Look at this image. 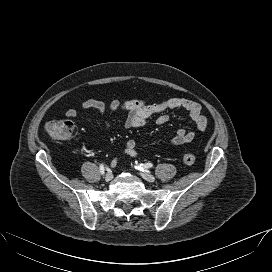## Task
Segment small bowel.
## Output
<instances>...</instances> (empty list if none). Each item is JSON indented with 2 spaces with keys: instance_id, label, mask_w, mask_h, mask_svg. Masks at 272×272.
Segmentation results:
<instances>
[{
  "instance_id": "c3829d8e",
  "label": "small bowel",
  "mask_w": 272,
  "mask_h": 272,
  "mask_svg": "<svg viewBox=\"0 0 272 272\" xmlns=\"http://www.w3.org/2000/svg\"><path fill=\"white\" fill-rule=\"evenodd\" d=\"M81 107L84 110L94 109L102 115H106L109 112L124 111L127 113L124 123L126 128H140L153 116H158L156 122L157 124L162 125L169 119L168 111L176 109L187 111L198 131H205L208 126V120L206 116L202 114L200 104L186 98H169L167 100L154 103L137 99L127 100L124 102L112 100L108 105L100 100L88 99L82 102ZM65 115L68 118H76L78 116V111L74 108H70L65 112ZM106 128L109 129L108 122H106ZM194 138V131L179 128L170 143L172 146H179L191 143ZM123 154L130 157L138 156L136 142L134 140L131 139L126 142ZM117 160L118 158H115L112 161V164L115 165Z\"/></svg>"
}]
</instances>
